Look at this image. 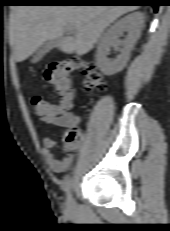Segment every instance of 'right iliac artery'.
<instances>
[{
	"mask_svg": "<svg viewBox=\"0 0 170 231\" xmlns=\"http://www.w3.org/2000/svg\"><path fill=\"white\" fill-rule=\"evenodd\" d=\"M71 187H72V179L69 178L66 182V185H65L66 193H67L68 197L70 196Z\"/></svg>",
	"mask_w": 170,
	"mask_h": 231,
	"instance_id": "82829eb1",
	"label": "right iliac artery"
}]
</instances>
